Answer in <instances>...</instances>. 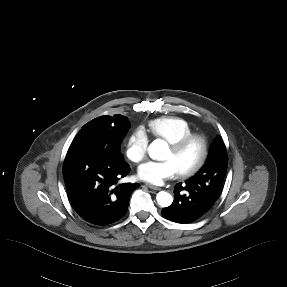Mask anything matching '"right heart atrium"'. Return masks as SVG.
I'll list each match as a JSON object with an SVG mask.
<instances>
[{
    "label": "right heart atrium",
    "instance_id": "right-heart-atrium-1",
    "mask_svg": "<svg viewBox=\"0 0 287 287\" xmlns=\"http://www.w3.org/2000/svg\"><path fill=\"white\" fill-rule=\"evenodd\" d=\"M148 149V139L141 128L135 129L128 137L125 154L129 160L138 163L145 159Z\"/></svg>",
    "mask_w": 287,
    "mask_h": 287
}]
</instances>
